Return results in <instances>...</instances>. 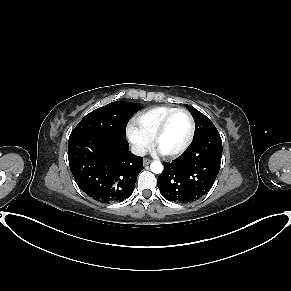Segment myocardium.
<instances>
[{
  "label": "myocardium",
  "mask_w": 291,
  "mask_h": 291,
  "mask_svg": "<svg viewBox=\"0 0 291 291\" xmlns=\"http://www.w3.org/2000/svg\"><path fill=\"white\" fill-rule=\"evenodd\" d=\"M177 113H184V114H186L188 116L189 122H190V130H189V135H188V138H187L186 142L179 149H177L175 151H172V152H162V151L159 150V152L163 156L168 157V158H174V157H177V156L183 154L190 147V145H191V143L193 142V139H194L195 121H194V118H193L192 114L187 109L177 108V109L173 110L172 112H170L163 119V121L161 122V124L157 128L156 132L154 133V135L152 137L153 146L157 148L158 142H159L160 138L162 137V135L164 134V132H165L167 126H168L169 121Z\"/></svg>",
  "instance_id": "f54148a6"
}]
</instances>
